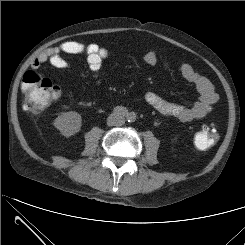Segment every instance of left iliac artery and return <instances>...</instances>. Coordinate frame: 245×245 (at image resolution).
Here are the masks:
<instances>
[{
    "label": "left iliac artery",
    "mask_w": 245,
    "mask_h": 245,
    "mask_svg": "<svg viewBox=\"0 0 245 245\" xmlns=\"http://www.w3.org/2000/svg\"><path fill=\"white\" fill-rule=\"evenodd\" d=\"M127 118H128V121L130 122H132V121H134V119H135V115L133 114V113H129L128 114V116H127Z\"/></svg>",
    "instance_id": "44dca946"
}]
</instances>
